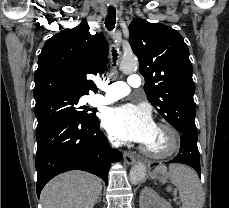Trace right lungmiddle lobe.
Masks as SVG:
<instances>
[{
	"instance_id": "right-lung-middle-lobe-1",
	"label": "right lung middle lobe",
	"mask_w": 229,
	"mask_h": 208,
	"mask_svg": "<svg viewBox=\"0 0 229 208\" xmlns=\"http://www.w3.org/2000/svg\"><path fill=\"white\" fill-rule=\"evenodd\" d=\"M82 96L53 95L36 101L34 108L38 120L36 133L46 128L58 119L72 116L85 120L97 119L95 109L79 106L78 102ZM92 111V113H90Z\"/></svg>"
}]
</instances>
